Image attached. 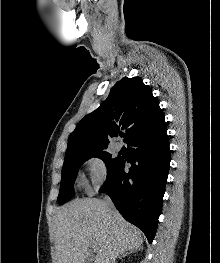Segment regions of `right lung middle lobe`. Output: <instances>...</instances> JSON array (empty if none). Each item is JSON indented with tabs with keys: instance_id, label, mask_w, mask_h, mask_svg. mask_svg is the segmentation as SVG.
<instances>
[{
	"instance_id": "1",
	"label": "right lung middle lobe",
	"mask_w": 220,
	"mask_h": 263,
	"mask_svg": "<svg viewBox=\"0 0 220 263\" xmlns=\"http://www.w3.org/2000/svg\"><path fill=\"white\" fill-rule=\"evenodd\" d=\"M97 157L102 159L107 166V171L118 161L119 157L112 158L111 154L105 149L87 151V152H70L65 155L62 168V178L60 184V192L58 203L61 205L74 197V180L80 166L88 159Z\"/></svg>"
}]
</instances>
